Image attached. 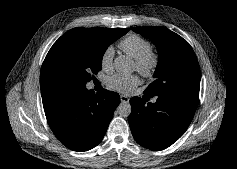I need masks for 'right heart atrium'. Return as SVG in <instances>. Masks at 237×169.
<instances>
[{
  "label": "right heart atrium",
  "instance_id": "right-heart-atrium-1",
  "mask_svg": "<svg viewBox=\"0 0 237 169\" xmlns=\"http://www.w3.org/2000/svg\"><path fill=\"white\" fill-rule=\"evenodd\" d=\"M114 56L113 46H107L101 55V64L104 69H109L112 66Z\"/></svg>",
  "mask_w": 237,
  "mask_h": 169
}]
</instances>
